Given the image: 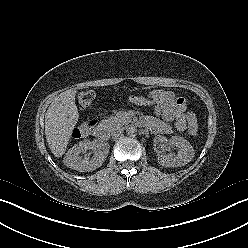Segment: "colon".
Instances as JSON below:
<instances>
[{
	"mask_svg": "<svg viewBox=\"0 0 248 248\" xmlns=\"http://www.w3.org/2000/svg\"><path fill=\"white\" fill-rule=\"evenodd\" d=\"M94 99L95 95L93 92H82L78 96V105L81 109H88L92 106ZM96 122L97 121L95 119H88L86 122L74 129L73 136L75 138H83L87 136L90 131L95 127ZM188 130L191 135H195L198 130L197 120L193 113H189Z\"/></svg>",
	"mask_w": 248,
	"mask_h": 248,
	"instance_id": "obj_1",
	"label": "colon"
}]
</instances>
